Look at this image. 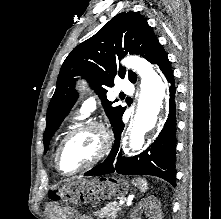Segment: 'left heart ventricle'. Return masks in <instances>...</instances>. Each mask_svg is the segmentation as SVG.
Instances as JSON below:
<instances>
[{"label": "left heart ventricle", "mask_w": 221, "mask_h": 219, "mask_svg": "<svg viewBox=\"0 0 221 219\" xmlns=\"http://www.w3.org/2000/svg\"><path fill=\"white\" fill-rule=\"evenodd\" d=\"M100 144L101 136L96 129L84 131L72 138L60 156L62 171L72 172L88 164L97 155Z\"/></svg>", "instance_id": "obj_1"}]
</instances>
